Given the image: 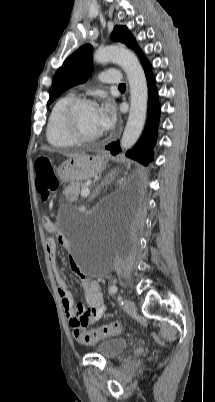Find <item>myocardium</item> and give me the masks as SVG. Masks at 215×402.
Masks as SVG:
<instances>
[{"mask_svg": "<svg viewBox=\"0 0 215 402\" xmlns=\"http://www.w3.org/2000/svg\"><path fill=\"white\" fill-rule=\"evenodd\" d=\"M86 105L97 106V103L90 98L78 97L70 101L65 107L62 115V125L67 135L76 143H89L101 137V134L85 135L78 127V112Z\"/></svg>", "mask_w": 215, "mask_h": 402, "instance_id": "myocardium-1", "label": "myocardium"}]
</instances>
